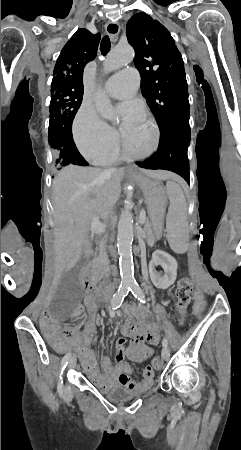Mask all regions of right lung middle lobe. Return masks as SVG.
<instances>
[{
  "mask_svg": "<svg viewBox=\"0 0 241 450\" xmlns=\"http://www.w3.org/2000/svg\"><path fill=\"white\" fill-rule=\"evenodd\" d=\"M82 98L83 88L68 84L51 85L48 139L54 170H61L70 164L66 154L65 138H72L71 126Z\"/></svg>",
  "mask_w": 241,
  "mask_h": 450,
  "instance_id": "right-lung-middle-lobe-1",
  "label": "right lung middle lobe"
}]
</instances>
